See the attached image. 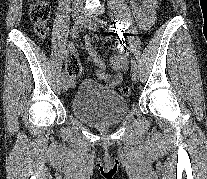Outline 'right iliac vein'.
Instances as JSON below:
<instances>
[{
    "instance_id": "1",
    "label": "right iliac vein",
    "mask_w": 207,
    "mask_h": 179,
    "mask_svg": "<svg viewBox=\"0 0 207 179\" xmlns=\"http://www.w3.org/2000/svg\"><path fill=\"white\" fill-rule=\"evenodd\" d=\"M72 17H73V20H74V23L75 24H79L81 22V19H82V13L80 12H73L72 13ZM70 82L65 79H63V84H62V89L63 91H67L70 87Z\"/></svg>"
}]
</instances>
